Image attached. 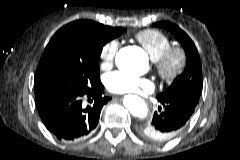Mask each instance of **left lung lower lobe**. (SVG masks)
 I'll use <instances>...</instances> for the list:
<instances>
[{
    "instance_id": "1",
    "label": "left lung lower lobe",
    "mask_w": 240,
    "mask_h": 160,
    "mask_svg": "<svg viewBox=\"0 0 240 160\" xmlns=\"http://www.w3.org/2000/svg\"><path fill=\"white\" fill-rule=\"evenodd\" d=\"M163 106L150 124H139L138 133L153 142H164L177 135L193 114L196 103L182 98L157 97Z\"/></svg>"
}]
</instances>
